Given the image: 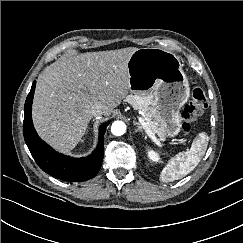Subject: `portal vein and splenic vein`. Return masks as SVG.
<instances>
[{
    "label": "portal vein and splenic vein",
    "mask_w": 243,
    "mask_h": 243,
    "mask_svg": "<svg viewBox=\"0 0 243 243\" xmlns=\"http://www.w3.org/2000/svg\"><path fill=\"white\" fill-rule=\"evenodd\" d=\"M141 126L143 127V129L145 130V132L147 133V135L149 136V138L158 146H162L161 143L158 141V139L156 138V136L151 132V130L149 129L147 123L144 121V119L142 117L138 118Z\"/></svg>",
    "instance_id": "obj_1"
}]
</instances>
